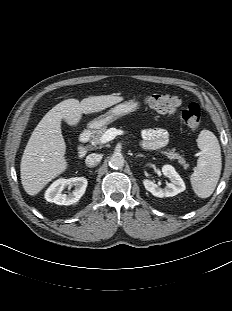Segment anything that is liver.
I'll use <instances>...</instances> for the list:
<instances>
[{"label":"liver","mask_w":232,"mask_h":311,"mask_svg":"<svg viewBox=\"0 0 232 311\" xmlns=\"http://www.w3.org/2000/svg\"><path fill=\"white\" fill-rule=\"evenodd\" d=\"M123 100V97L101 95L66 99L45 114L31 134L21 164V183L31 196L38 194L52 179L67 169L66 144L61 134V121L77 125L82 114L100 112Z\"/></svg>","instance_id":"1"}]
</instances>
